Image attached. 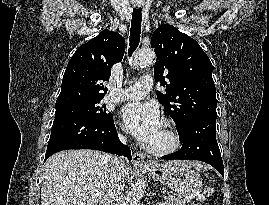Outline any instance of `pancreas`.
<instances>
[{
  "label": "pancreas",
  "mask_w": 269,
  "mask_h": 205,
  "mask_svg": "<svg viewBox=\"0 0 269 205\" xmlns=\"http://www.w3.org/2000/svg\"><path fill=\"white\" fill-rule=\"evenodd\" d=\"M164 205H185L179 201L175 195H170L165 199Z\"/></svg>",
  "instance_id": "cf45deb5"
}]
</instances>
